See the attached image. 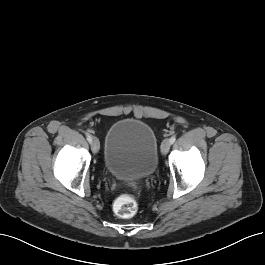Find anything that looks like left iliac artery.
Here are the masks:
<instances>
[{
	"mask_svg": "<svg viewBox=\"0 0 265 265\" xmlns=\"http://www.w3.org/2000/svg\"><path fill=\"white\" fill-rule=\"evenodd\" d=\"M169 140L170 143L173 144L176 141V136H172Z\"/></svg>",
	"mask_w": 265,
	"mask_h": 265,
	"instance_id": "obj_1",
	"label": "left iliac artery"
}]
</instances>
